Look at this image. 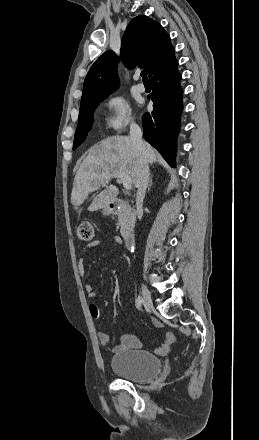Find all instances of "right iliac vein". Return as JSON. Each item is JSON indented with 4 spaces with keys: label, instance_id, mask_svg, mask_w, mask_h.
Wrapping results in <instances>:
<instances>
[{
    "label": "right iliac vein",
    "instance_id": "63e3f726",
    "mask_svg": "<svg viewBox=\"0 0 259 440\" xmlns=\"http://www.w3.org/2000/svg\"><path fill=\"white\" fill-rule=\"evenodd\" d=\"M142 297L145 307L148 309L151 308L152 307L151 294L145 285L142 286Z\"/></svg>",
    "mask_w": 259,
    "mask_h": 440
}]
</instances>
